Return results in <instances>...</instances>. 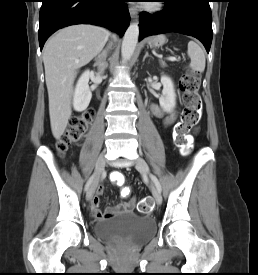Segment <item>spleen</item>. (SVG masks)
<instances>
[{
    "label": "spleen",
    "mask_w": 258,
    "mask_h": 275,
    "mask_svg": "<svg viewBox=\"0 0 258 275\" xmlns=\"http://www.w3.org/2000/svg\"><path fill=\"white\" fill-rule=\"evenodd\" d=\"M188 56L191 61L189 67L194 71L203 72L206 65L205 54L202 48L194 41L188 43Z\"/></svg>",
    "instance_id": "3e777b00"
}]
</instances>
